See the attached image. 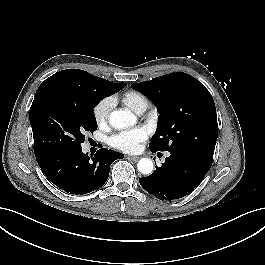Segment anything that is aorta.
Listing matches in <instances>:
<instances>
[{"mask_svg": "<svg viewBox=\"0 0 265 265\" xmlns=\"http://www.w3.org/2000/svg\"><path fill=\"white\" fill-rule=\"evenodd\" d=\"M136 122V117L129 110H114L109 115V123L116 129H124ZM153 162L149 158H142L137 164L138 171L149 175L153 172Z\"/></svg>", "mask_w": 265, "mask_h": 265, "instance_id": "aorta-1", "label": "aorta"}]
</instances>
